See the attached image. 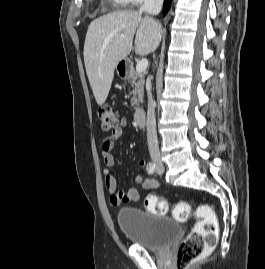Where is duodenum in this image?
Instances as JSON below:
<instances>
[{"mask_svg":"<svg viewBox=\"0 0 265 269\" xmlns=\"http://www.w3.org/2000/svg\"><path fill=\"white\" fill-rule=\"evenodd\" d=\"M122 76L125 77L129 73V68L126 65H122L121 67ZM146 118V112L144 109H137L134 113V120L138 125H144Z\"/></svg>","mask_w":265,"mask_h":269,"instance_id":"410a0bca","label":"duodenum"}]
</instances>
